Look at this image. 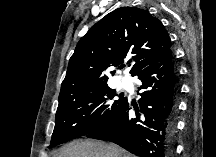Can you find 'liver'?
Wrapping results in <instances>:
<instances>
[{
    "instance_id": "1",
    "label": "liver",
    "mask_w": 216,
    "mask_h": 157,
    "mask_svg": "<svg viewBox=\"0 0 216 157\" xmlns=\"http://www.w3.org/2000/svg\"><path fill=\"white\" fill-rule=\"evenodd\" d=\"M54 157H132V154L115 144L88 140L69 143Z\"/></svg>"
}]
</instances>
